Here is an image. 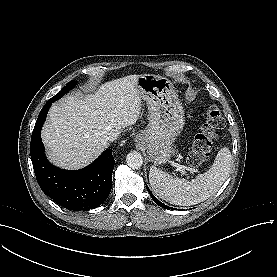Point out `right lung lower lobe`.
I'll return each instance as SVG.
<instances>
[{"mask_svg": "<svg viewBox=\"0 0 277 277\" xmlns=\"http://www.w3.org/2000/svg\"><path fill=\"white\" fill-rule=\"evenodd\" d=\"M42 108L31 137V160L42 191L59 205L73 211H87L101 205L111 191L114 158L111 149L105 150L89 166L68 171L50 164L44 154L41 128L52 105Z\"/></svg>", "mask_w": 277, "mask_h": 277, "instance_id": "obj_1", "label": "right lung lower lobe"}]
</instances>
